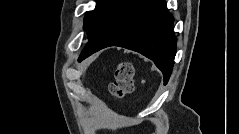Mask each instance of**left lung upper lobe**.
<instances>
[{"label": "left lung upper lobe", "instance_id": "obj_1", "mask_svg": "<svg viewBox=\"0 0 239 134\" xmlns=\"http://www.w3.org/2000/svg\"><path fill=\"white\" fill-rule=\"evenodd\" d=\"M93 11L87 12L83 28L87 30L88 40L96 35L110 20L124 0H96ZM83 59L79 58V61Z\"/></svg>", "mask_w": 239, "mask_h": 134}]
</instances>
